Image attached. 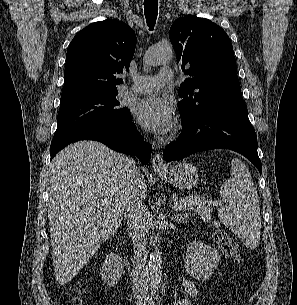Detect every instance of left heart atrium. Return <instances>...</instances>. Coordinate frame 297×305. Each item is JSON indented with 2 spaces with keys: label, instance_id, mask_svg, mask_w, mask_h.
I'll list each match as a JSON object with an SVG mask.
<instances>
[{
  "label": "left heart atrium",
  "instance_id": "39dd6f15",
  "mask_svg": "<svg viewBox=\"0 0 297 305\" xmlns=\"http://www.w3.org/2000/svg\"><path fill=\"white\" fill-rule=\"evenodd\" d=\"M134 115L147 130L165 134L174 124V108L171 100L161 96H148L136 104Z\"/></svg>",
  "mask_w": 297,
  "mask_h": 305
}]
</instances>
